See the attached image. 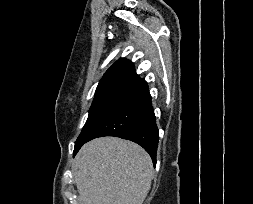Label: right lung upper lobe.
<instances>
[{"label":"right lung upper lobe","mask_w":253,"mask_h":204,"mask_svg":"<svg viewBox=\"0 0 253 204\" xmlns=\"http://www.w3.org/2000/svg\"><path fill=\"white\" fill-rule=\"evenodd\" d=\"M142 81L143 79H141L135 72L134 64L131 61L122 58L116 61L105 72L98 87L120 82L141 83Z\"/></svg>","instance_id":"1"}]
</instances>
